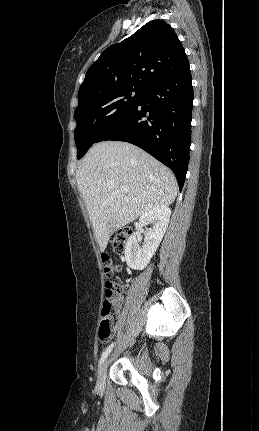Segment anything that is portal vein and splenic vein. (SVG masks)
Listing matches in <instances>:
<instances>
[{
	"label": "portal vein and splenic vein",
	"mask_w": 259,
	"mask_h": 431,
	"mask_svg": "<svg viewBox=\"0 0 259 431\" xmlns=\"http://www.w3.org/2000/svg\"><path fill=\"white\" fill-rule=\"evenodd\" d=\"M120 191H121L122 193L128 192V188H127V187H125V186H120Z\"/></svg>",
	"instance_id": "obj_1"
}]
</instances>
